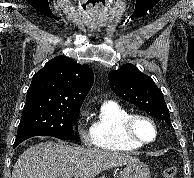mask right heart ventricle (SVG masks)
Listing matches in <instances>:
<instances>
[{"mask_svg": "<svg viewBox=\"0 0 194 178\" xmlns=\"http://www.w3.org/2000/svg\"><path fill=\"white\" fill-rule=\"evenodd\" d=\"M130 112L115 101H105L94 119L90 131L95 147L112 151H134L140 149L128 141L122 133V123Z\"/></svg>", "mask_w": 194, "mask_h": 178, "instance_id": "e07e8e85", "label": "right heart ventricle"}]
</instances>
